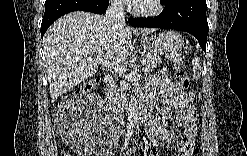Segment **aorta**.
Segmentation results:
<instances>
[{
	"instance_id": "aorta-1",
	"label": "aorta",
	"mask_w": 247,
	"mask_h": 156,
	"mask_svg": "<svg viewBox=\"0 0 247 156\" xmlns=\"http://www.w3.org/2000/svg\"><path fill=\"white\" fill-rule=\"evenodd\" d=\"M128 118L131 124H135L137 122V100L132 94H131V101L129 105Z\"/></svg>"
}]
</instances>
